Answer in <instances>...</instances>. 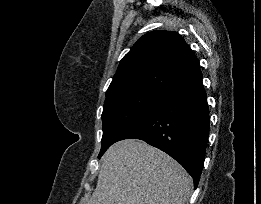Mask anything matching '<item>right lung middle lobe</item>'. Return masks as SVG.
Instances as JSON below:
<instances>
[{"mask_svg":"<svg viewBox=\"0 0 261 204\" xmlns=\"http://www.w3.org/2000/svg\"><path fill=\"white\" fill-rule=\"evenodd\" d=\"M165 96L166 92L152 90L124 91L107 96L102 113L103 137L98 158Z\"/></svg>","mask_w":261,"mask_h":204,"instance_id":"right-lung-middle-lobe-1","label":"right lung middle lobe"}]
</instances>
